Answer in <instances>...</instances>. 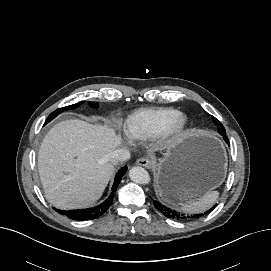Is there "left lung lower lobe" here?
Returning <instances> with one entry per match:
<instances>
[{
    "label": "left lung lower lobe",
    "mask_w": 271,
    "mask_h": 271,
    "mask_svg": "<svg viewBox=\"0 0 271 271\" xmlns=\"http://www.w3.org/2000/svg\"><path fill=\"white\" fill-rule=\"evenodd\" d=\"M222 136H223V139L226 141V143L229 145V140L225 136V132H224V134H222ZM154 206L156 207L157 210H159L167 218L178 219V220H187V219L200 218L204 214L209 213L216 205H214L211 209L206 211L204 214L201 213V214H196V215H185V214L178 213L175 210H172L169 207L162 205L158 201L154 202Z\"/></svg>",
    "instance_id": "left-lung-lower-lobe-1"
}]
</instances>
